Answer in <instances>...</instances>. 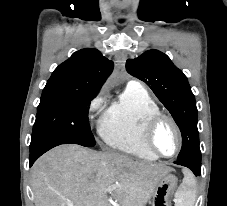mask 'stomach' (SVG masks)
I'll use <instances>...</instances> for the list:
<instances>
[{
    "label": "stomach",
    "mask_w": 227,
    "mask_h": 206,
    "mask_svg": "<svg viewBox=\"0 0 227 206\" xmlns=\"http://www.w3.org/2000/svg\"><path fill=\"white\" fill-rule=\"evenodd\" d=\"M177 177L172 174L164 176L153 191L152 206H170V197L177 186Z\"/></svg>",
    "instance_id": "0dacf381"
}]
</instances>
